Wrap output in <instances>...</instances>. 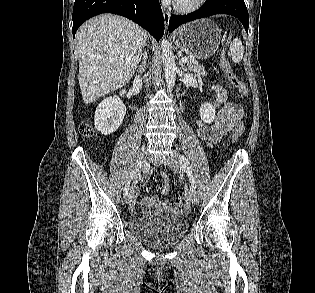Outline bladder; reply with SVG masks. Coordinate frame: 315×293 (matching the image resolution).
I'll return each instance as SVG.
<instances>
[{"label": "bladder", "instance_id": "bladder-1", "mask_svg": "<svg viewBox=\"0 0 315 293\" xmlns=\"http://www.w3.org/2000/svg\"><path fill=\"white\" fill-rule=\"evenodd\" d=\"M129 230L140 240L153 247H168L181 240L188 230L186 219L167 213L132 217Z\"/></svg>", "mask_w": 315, "mask_h": 293}]
</instances>
